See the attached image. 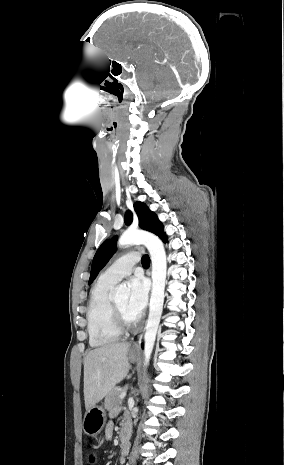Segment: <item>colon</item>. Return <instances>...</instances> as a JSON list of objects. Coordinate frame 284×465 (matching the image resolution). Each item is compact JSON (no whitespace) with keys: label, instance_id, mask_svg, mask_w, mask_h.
I'll return each instance as SVG.
<instances>
[{"label":"colon","instance_id":"colon-1","mask_svg":"<svg viewBox=\"0 0 284 465\" xmlns=\"http://www.w3.org/2000/svg\"><path fill=\"white\" fill-rule=\"evenodd\" d=\"M90 462H91L92 464H95V463L97 462V459H96L95 457H92V458L90 459Z\"/></svg>","mask_w":284,"mask_h":465}]
</instances>
